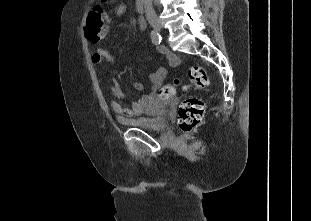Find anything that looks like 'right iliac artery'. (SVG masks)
<instances>
[{"mask_svg": "<svg viewBox=\"0 0 311 221\" xmlns=\"http://www.w3.org/2000/svg\"><path fill=\"white\" fill-rule=\"evenodd\" d=\"M151 40L155 45H158L161 42V36L157 31H151Z\"/></svg>", "mask_w": 311, "mask_h": 221, "instance_id": "obj_1", "label": "right iliac artery"}]
</instances>
